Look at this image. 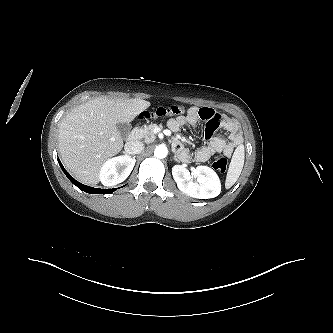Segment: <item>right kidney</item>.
Returning <instances> with one entry per match:
<instances>
[{
  "instance_id": "obj_1",
  "label": "right kidney",
  "mask_w": 333,
  "mask_h": 333,
  "mask_svg": "<svg viewBox=\"0 0 333 333\" xmlns=\"http://www.w3.org/2000/svg\"><path fill=\"white\" fill-rule=\"evenodd\" d=\"M136 160L127 155L107 160L100 169L99 178L104 186L117 185L130 175Z\"/></svg>"
}]
</instances>
